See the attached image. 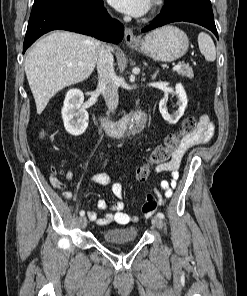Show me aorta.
Wrapping results in <instances>:
<instances>
[{
  "label": "aorta",
  "mask_w": 247,
  "mask_h": 296,
  "mask_svg": "<svg viewBox=\"0 0 247 296\" xmlns=\"http://www.w3.org/2000/svg\"><path fill=\"white\" fill-rule=\"evenodd\" d=\"M133 120H134V124H135L134 127L139 126V124H140V122L142 120V113L140 112V113L134 114Z\"/></svg>",
  "instance_id": "obj_1"
}]
</instances>
